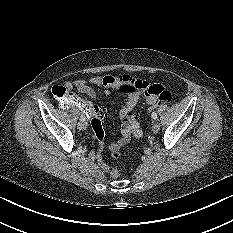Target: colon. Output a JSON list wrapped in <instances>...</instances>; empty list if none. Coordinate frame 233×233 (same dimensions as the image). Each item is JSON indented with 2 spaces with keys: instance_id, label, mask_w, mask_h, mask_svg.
Here are the masks:
<instances>
[{
  "instance_id": "5ec220e1",
  "label": "colon",
  "mask_w": 233,
  "mask_h": 233,
  "mask_svg": "<svg viewBox=\"0 0 233 233\" xmlns=\"http://www.w3.org/2000/svg\"><path fill=\"white\" fill-rule=\"evenodd\" d=\"M134 85L141 87V84L134 81ZM145 91L149 95L155 96V99L149 104L150 108L159 106L161 104L170 103L173 100V95L170 91L165 90V88L159 84H153L145 87ZM52 94L55 98L60 100V106L62 108L74 107L83 113H86L88 117H91V127L93 132V137L99 141L103 139L104 131L102 126V110L96 105H93L90 101L84 100L79 96H76L68 91L64 86L56 85L52 88ZM119 151L113 152L112 156L119 157ZM119 173L117 169H113L112 176L118 177Z\"/></svg>"
}]
</instances>
